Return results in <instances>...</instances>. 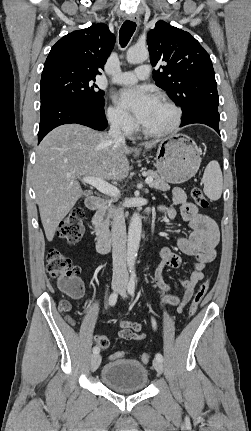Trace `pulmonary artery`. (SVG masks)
Listing matches in <instances>:
<instances>
[{
  "label": "pulmonary artery",
  "instance_id": "1",
  "mask_svg": "<svg viewBox=\"0 0 251 431\" xmlns=\"http://www.w3.org/2000/svg\"><path fill=\"white\" fill-rule=\"evenodd\" d=\"M149 75V66L141 65L134 71L121 72L112 77V80L118 84H132L138 80L147 78Z\"/></svg>",
  "mask_w": 251,
  "mask_h": 431
}]
</instances>
